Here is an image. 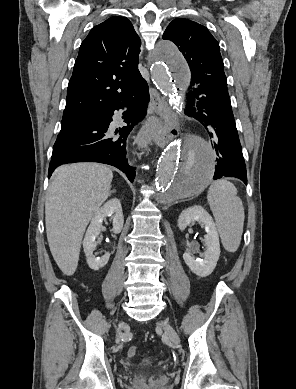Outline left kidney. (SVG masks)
I'll use <instances>...</instances> for the list:
<instances>
[{"label":"left kidney","instance_id":"left-kidney-1","mask_svg":"<svg viewBox=\"0 0 296 389\" xmlns=\"http://www.w3.org/2000/svg\"><path fill=\"white\" fill-rule=\"evenodd\" d=\"M200 222L204 225L206 236V251L197 258L194 253L198 250L197 246L189 245L183 254V259L190 270L200 277L209 276L216 267L220 256L219 236L212 217L201 206H193L182 211L178 218V228L183 231L190 224Z\"/></svg>","mask_w":296,"mask_h":389}]
</instances>
